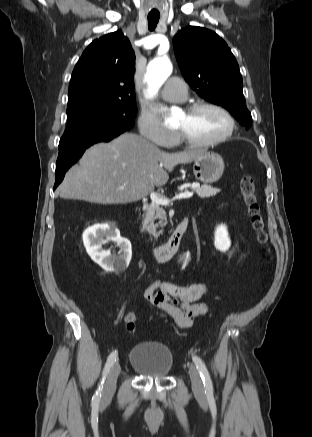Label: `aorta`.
<instances>
[{"mask_svg":"<svg viewBox=\"0 0 312 437\" xmlns=\"http://www.w3.org/2000/svg\"><path fill=\"white\" fill-rule=\"evenodd\" d=\"M171 73L172 65L169 60L163 58H156L152 60L148 64L145 75L148 94L156 95ZM170 120L171 118L166 119L167 122Z\"/></svg>","mask_w":312,"mask_h":437,"instance_id":"762f6f07","label":"aorta"}]
</instances>
